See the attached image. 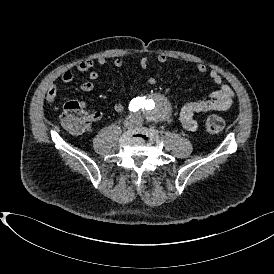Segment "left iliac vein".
I'll return each mask as SVG.
<instances>
[{
	"label": "left iliac vein",
	"mask_w": 274,
	"mask_h": 274,
	"mask_svg": "<svg viewBox=\"0 0 274 274\" xmlns=\"http://www.w3.org/2000/svg\"><path fill=\"white\" fill-rule=\"evenodd\" d=\"M142 123H143V120H142L141 116H138L136 125H142Z\"/></svg>",
	"instance_id": "left-iliac-vein-1"
}]
</instances>
